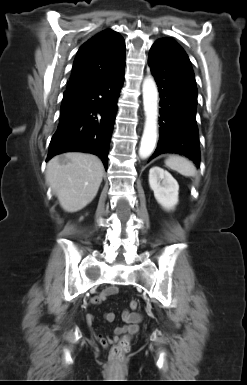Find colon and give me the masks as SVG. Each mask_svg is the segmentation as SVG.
<instances>
[{
    "mask_svg": "<svg viewBox=\"0 0 247 385\" xmlns=\"http://www.w3.org/2000/svg\"><path fill=\"white\" fill-rule=\"evenodd\" d=\"M139 307V304L137 301H132L130 303V309L136 310ZM129 338L124 336L118 344H116L110 351V356L113 361H120L123 354L129 347Z\"/></svg>",
    "mask_w": 247,
    "mask_h": 385,
    "instance_id": "5ec220e1",
    "label": "colon"
}]
</instances>
